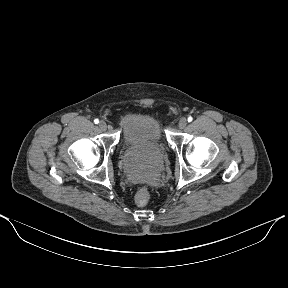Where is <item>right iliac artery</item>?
I'll return each instance as SVG.
<instances>
[{
	"label": "right iliac artery",
	"mask_w": 288,
	"mask_h": 288,
	"mask_svg": "<svg viewBox=\"0 0 288 288\" xmlns=\"http://www.w3.org/2000/svg\"><path fill=\"white\" fill-rule=\"evenodd\" d=\"M94 123H95V124H98V123H99V120H98V119H95V120H94Z\"/></svg>",
	"instance_id": "obj_1"
}]
</instances>
